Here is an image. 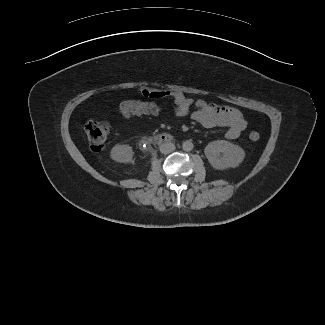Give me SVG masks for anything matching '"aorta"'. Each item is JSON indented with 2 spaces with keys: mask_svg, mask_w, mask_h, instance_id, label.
<instances>
[{
  "mask_svg": "<svg viewBox=\"0 0 325 325\" xmlns=\"http://www.w3.org/2000/svg\"><path fill=\"white\" fill-rule=\"evenodd\" d=\"M182 148L184 151H191L193 149V143L190 140L184 141Z\"/></svg>",
  "mask_w": 325,
  "mask_h": 325,
  "instance_id": "obj_1",
  "label": "aorta"
}]
</instances>
